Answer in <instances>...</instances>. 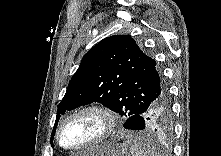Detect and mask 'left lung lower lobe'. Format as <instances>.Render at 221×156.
Instances as JSON below:
<instances>
[{
	"instance_id": "left-lung-lower-lobe-1",
	"label": "left lung lower lobe",
	"mask_w": 221,
	"mask_h": 156,
	"mask_svg": "<svg viewBox=\"0 0 221 156\" xmlns=\"http://www.w3.org/2000/svg\"><path fill=\"white\" fill-rule=\"evenodd\" d=\"M123 126L128 130L157 132L159 134L172 132L171 98L164 80L156 99L148 107L129 117Z\"/></svg>"
}]
</instances>
